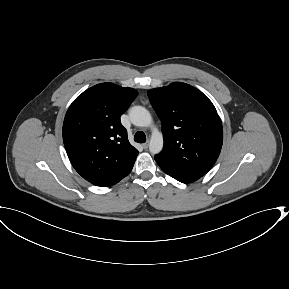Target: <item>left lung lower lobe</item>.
<instances>
[{"mask_svg": "<svg viewBox=\"0 0 289 289\" xmlns=\"http://www.w3.org/2000/svg\"><path fill=\"white\" fill-rule=\"evenodd\" d=\"M170 175L171 177H173L174 179L182 182V183H190V182H194L196 181L197 177H188V176H182V175H179V174H168Z\"/></svg>", "mask_w": 289, "mask_h": 289, "instance_id": "left-lung-lower-lobe-1", "label": "left lung lower lobe"}]
</instances>
